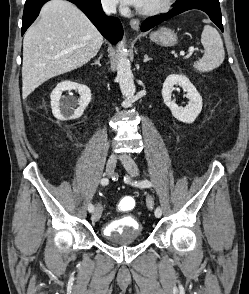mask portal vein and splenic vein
I'll use <instances>...</instances> for the list:
<instances>
[{"label": "portal vein and splenic vein", "mask_w": 249, "mask_h": 294, "mask_svg": "<svg viewBox=\"0 0 249 294\" xmlns=\"http://www.w3.org/2000/svg\"><path fill=\"white\" fill-rule=\"evenodd\" d=\"M194 51H195L194 48H190V49L188 50L189 55H192ZM181 55H185V54H184V53H181Z\"/></svg>", "instance_id": "obj_1"}]
</instances>
